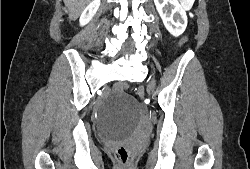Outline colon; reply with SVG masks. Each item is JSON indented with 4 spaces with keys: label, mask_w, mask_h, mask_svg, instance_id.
I'll return each instance as SVG.
<instances>
[{
    "label": "colon",
    "mask_w": 250,
    "mask_h": 169,
    "mask_svg": "<svg viewBox=\"0 0 250 169\" xmlns=\"http://www.w3.org/2000/svg\"><path fill=\"white\" fill-rule=\"evenodd\" d=\"M183 44H189V39L183 38L178 46H182ZM177 47L176 45L174 46ZM175 52L174 50L172 51ZM121 90H128V85H121ZM115 151V159L118 160V166L121 169H133L135 166L133 150H127V145H116Z\"/></svg>",
    "instance_id": "1"
}]
</instances>
